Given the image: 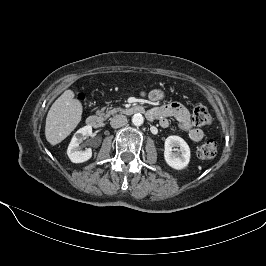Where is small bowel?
Segmentation results:
<instances>
[{
    "instance_id": "c3829d8e",
    "label": "small bowel",
    "mask_w": 266,
    "mask_h": 266,
    "mask_svg": "<svg viewBox=\"0 0 266 266\" xmlns=\"http://www.w3.org/2000/svg\"><path fill=\"white\" fill-rule=\"evenodd\" d=\"M143 97H147L152 102H159L165 98V93L160 89H153L142 92ZM149 120H158L163 128L170 126L169 118H174L180 129L186 131L189 138L194 142L203 139L204 133L201 129L193 127L188 109L181 103L170 102L159 107L148 110L146 114Z\"/></svg>"
}]
</instances>
